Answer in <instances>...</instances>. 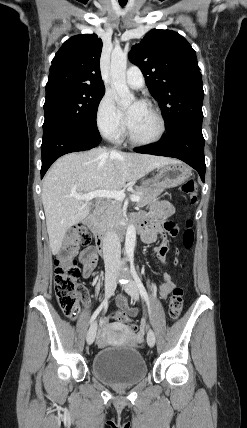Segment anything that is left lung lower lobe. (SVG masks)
<instances>
[{"label": "left lung lower lobe", "instance_id": "left-lung-lower-lobe-1", "mask_svg": "<svg viewBox=\"0 0 247 428\" xmlns=\"http://www.w3.org/2000/svg\"><path fill=\"white\" fill-rule=\"evenodd\" d=\"M135 151L138 153L178 158L193 167L204 182L206 165L202 121L181 123L167 130L161 142L136 148Z\"/></svg>", "mask_w": 247, "mask_h": 428}]
</instances>
